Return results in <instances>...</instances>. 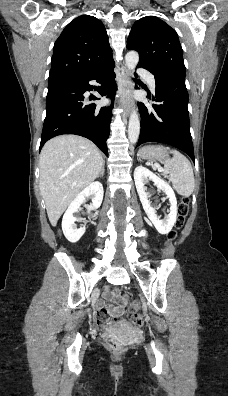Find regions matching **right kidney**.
<instances>
[{
    "label": "right kidney",
    "instance_id": "ca27d5eb",
    "mask_svg": "<svg viewBox=\"0 0 228 396\" xmlns=\"http://www.w3.org/2000/svg\"><path fill=\"white\" fill-rule=\"evenodd\" d=\"M103 194L102 184L100 182H93L84 188L70 203L62 219L63 233L70 242L76 243L85 233V227L76 228L74 222L77 219L73 214L78 212L81 204L89 197L92 199V204L87 206L88 212L96 210L101 206Z\"/></svg>",
    "mask_w": 228,
    "mask_h": 396
}]
</instances>
